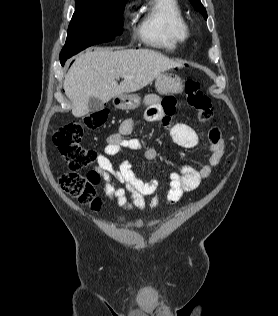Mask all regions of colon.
<instances>
[{"label": "colon", "mask_w": 278, "mask_h": 316, "mask_svg": "<svg viewBox=\"0 0 278 316\" xmlns=\"http://www.w3.org/2000/svg\"><path fill=\"white\" fill-rule=\"evenodd\" d=\"M185 93L188 104L197 111L199 121H208L213 114V108L209 97L202 90L201 83L195 79L187 80ZM106 120L105 111L92 113L80 121L61 126L53 134V142L70 169V172L60 178L62 190L81 203L90 205L93 210H98L101 205L95 188L99 176L95 172L82 175L78 171L90 166L96 160L97 153L82 146L81 140L86 131L101 127Z\"/></svg>", "instance_id": "1"}]
</instances>
